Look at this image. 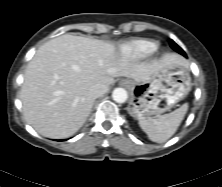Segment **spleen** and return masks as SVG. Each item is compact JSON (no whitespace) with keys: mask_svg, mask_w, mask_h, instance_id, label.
<instances>
[{"mask_svg":"<svg viewBox=\"0 0 222 187\" xmlns=\"http://www.w3.org/2000/svg\"><path fill=\"white\" fill-rule=\"evenodd\" d=\"M187 110L188 104L185 103L169 114L157 118L144 117L139 120V125L151 141L163 143L175 134Z\"/></svg>","mask_w":222,"mask_h":187,"instance_id":"spleen-1","label":"spleen"}]
</instances>
